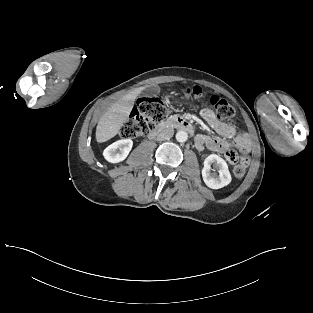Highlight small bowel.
Returning a JSON list of instances; mask_svg holds the SVG:
<instances>
[{
	"label": "small bowel",
	"mask_w": 313,
	"mask_h": 313,
	"mask_svg": "<svg viewBox=\"0 0 313 313\" xmlns=\"http://www.w3.org/2000/svg\"><path fill=\"white\" fill-rule=\"evenodd\" d=\"M203 120L219 135H197L195 139L196 147L199 150L208 148L217 153L227 154L230 151L229 140L233 141L234 146L243 155L248 154L253 147V140L249 133L238 132L232 124L226 123L218 119L215 113L209 108H203L200 112Z\"/></svg>",
	"instance_id": "small-bowel-1"
}]
</instances>
